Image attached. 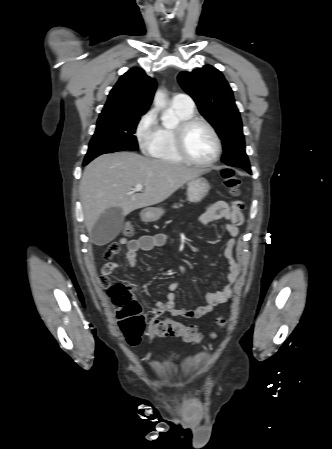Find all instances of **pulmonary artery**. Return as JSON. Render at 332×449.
<instances>
[{
    "mask_svg": "<svg viewBox=\"0 0 332 449\" xmlns=\"http://www.w3.org/2000/svg\"><path fill=\"white\" fill-rule=\"evenodd\" d=\"M172 105L189 111H193L195 106L193 100L183 93H178L172 97Z\"/></svg>",
    "mask_w": 332,
    "mask_h": 449,
    "instance_id": "pulmonary-artery-1",
    "label": "pulmonary artery"
}]
</instances>
